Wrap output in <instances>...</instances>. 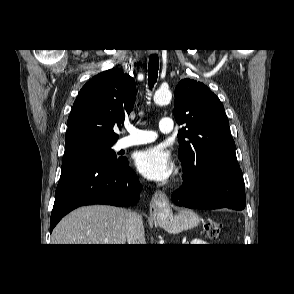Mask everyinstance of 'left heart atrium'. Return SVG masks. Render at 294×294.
Masks as SVG:
<instances>
[{
	"label": "left heart atrium",
	"mask_w": 294,
	"mask_h": 294,
	"mask_svg": "<svg viewBox=\"0 0 294 294\" xmlns=\"http://www.w3.org/2000/svg\"><path fill=\"white\" fill-rule=\"evenodd\" d=\"M135 166L139 173L149 180L163 181L169 179L174 171L170 154L161 146H154L138 152Z\"/></svg>",
	"instance_id": "1"
}]
</instances>
